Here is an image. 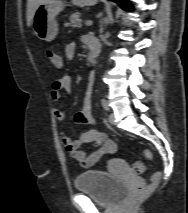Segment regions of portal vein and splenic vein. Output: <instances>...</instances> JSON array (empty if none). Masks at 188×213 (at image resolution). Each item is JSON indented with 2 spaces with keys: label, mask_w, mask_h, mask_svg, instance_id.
I'll return each mask as SVG.
<instances>
[{
  "label": "portal vein and splenic vein",
  "mask_w": 188,
  "mask_h": 213,
  "mask_svg": "<svg viewBox=\"0 0 188 213\" xmlns=\"http://www.w3.org/2000/svg\"><path fill=\"white\" fill-rule=\"evenodd\" d=\"M85 25H86V26H91V25H92V21H91V20H87V21L85 22Z\"/></svg>",
  "instance_id": "1"
}]
</instances>
